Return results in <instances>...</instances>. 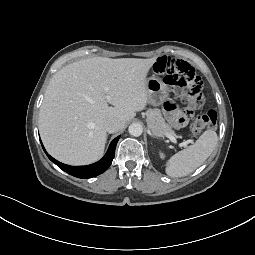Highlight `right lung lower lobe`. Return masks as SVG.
<instances>
[{
	"mask_svg": "<svg viewBox=\"0 0 255 255\" xmlns=\"http://www.w3.org/2000/svg\"><path fill=\"white\" fill-rule=\"evenodd\" d=\"M120 136L116 137L110 144L109 149L105 156L99 160L98 162L87 165V166H70L63 163L58 162L53 157L48 155V153L45 151L43 144L42 147L46 154L48 155L49 159L55 163L60 169L64 170L68 174L78 177V178H92L97 175H100L101 173L105 172L107 168L111 165L112 160L115 155V147L118 142Z\"/></svg>",
	"mask_w": 255,
	"mask_h": 255,
	"instance_id": "98d812e1",
	"label": "right lung lower lobe"
}]
</instances>
